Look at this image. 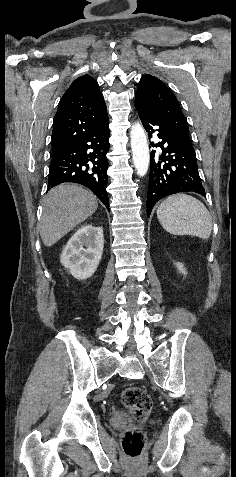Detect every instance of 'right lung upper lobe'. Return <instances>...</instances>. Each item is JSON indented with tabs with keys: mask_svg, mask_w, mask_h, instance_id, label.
Here are the masks:
<instances>
[{
	"mask_svg": "<svg viewBox=\"0 0 236 477\" xmlns=\"http://www.w3.org/2000/svg\"><path fill=\"white\" fill-rule=\"evenodd\" d=\"M107 122V108L98 83L90 75L77 78L64 93L54 118L53 156Z\"/></svg>",
	"mask_w": 236,
	"mask_h": 477,
	"instance_id": "obj_1",
	"label": "right lung upper lobe"
}]
</instances>
